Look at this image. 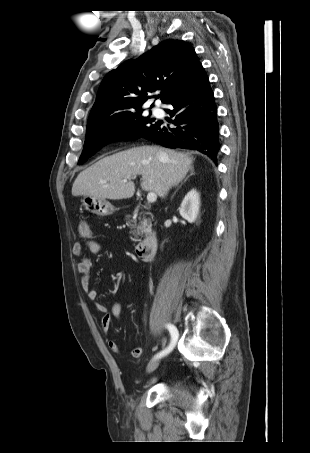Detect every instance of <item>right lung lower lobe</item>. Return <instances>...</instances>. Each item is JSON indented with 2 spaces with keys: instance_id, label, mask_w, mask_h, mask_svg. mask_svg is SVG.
<instances>
[{
  "instance_id": "obj_1",
  "label": "right lung lower lobe",
  "mask_w": 310,
  "mask_h": 453,
  "mask_svg": "<svg viewBox=\"0 0 310 453\" xmlns=\"http://www.w3.org/2000/svg\"><path fill=\"white\" fill-rule=\"evenodd\" d=\"M166 104L173 106L166 112L176 116L171 122L176 127L158 121L143 137L169 148L198 150L216 162L220 149L217 107L203 67Z\"/></svg>"
}]
</instances>
